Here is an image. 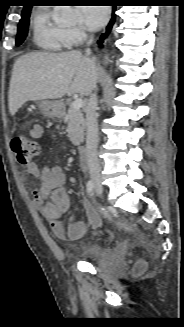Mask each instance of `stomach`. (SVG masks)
Here are the masks:
<instances>
[{
	"instance_id": "stomach-1",
	"label": "stomach",
	"mask_w": 184,
	"mask_h": 327,
	"mask_svg": "<svg viewBox=\"0 0 184 327\" xmlns=\"http://www.w3.org/2000/svg\"><path fill=\"white\" fill-rule=\"evenodd\" d=\"M39 107L47 117L55 118L61 115V104L57 101L44 100L39 103Z\"/></svg>"
}]
</instances>
